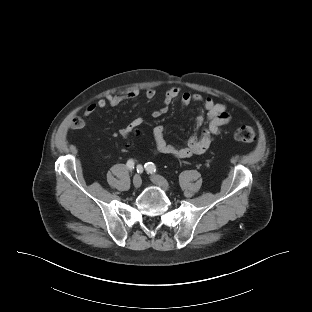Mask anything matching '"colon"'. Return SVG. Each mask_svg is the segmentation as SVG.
I'll return each instance as SVG.
<instances>
[{
  "label": "colon",
  "instance_id": "1",
  "mask_svg": "<svg viewBox=\"0 0 312 312\" xmlns=\"http://www.w3.org/2000/svg\"><path fill=\"white\" fill-rule=\"evenodd\" d=\"M70 124L73 128H81L84 121L80 117H74L71 119ZM234 137L238 141L250 143L256 139V131L251 126L243 125L235 130Z\"/></svg>",
  "mask_w": 312,
  "mask_h": 312
}]
</instances>
